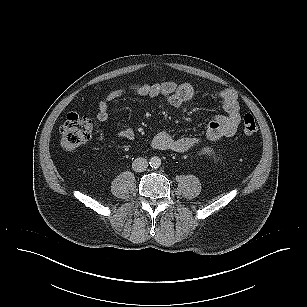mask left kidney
Listing matches in <instances>:
<instances>
[{
	"instance_id": "5707ae66",
	"label": "left kidney",
	"mask_w": 307,
	"mask_h": 307,
	"mask_svg": "<svg viewBox=\"0 0 307 307\" xmlns=\"http://www.w3.org/2000/svg\"><path fill=\"white\" fill-rule=\"evenodd\" d=\"M203 153L207 154V155H212L214 152H213V150L210 147H205L203 149Z\"/></svg>"
}]
</instances>
